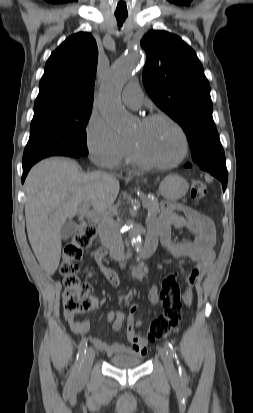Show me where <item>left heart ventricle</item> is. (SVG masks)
<instances>
[{
	"label": "left heart ventricle",
	"mask_w": 253,
	"mask_h": 413,
	"mask_svg": "<svg viewBox=\"0 0 253 413\" xmlns=\"http://www.w3.org/2000/svg\"><path fill=\"white\" fill-rule=\"evenodd\" d=\"M130 139L139 145L146 157L160 163L176 159L182 148L178 132L164 120L138 123Z\"/></svg>",
	"instance_id": "left-heart-ventricle-1"
}]
</instances>
